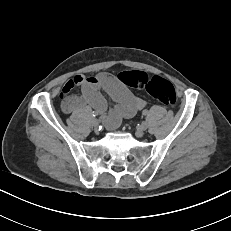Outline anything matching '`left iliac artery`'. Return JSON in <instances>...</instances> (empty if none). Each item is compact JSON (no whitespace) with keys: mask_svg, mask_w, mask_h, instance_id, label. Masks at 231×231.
Wrapping results in <instances>:
<instances>
[{"mask_svg":"<svg viewBox=\"0 0 231 231\" xmlns=\"http://www.w3.org/2000/svg\"><path fill=\"white\" fill-rule=\"evenodd\" d=\"M147 114H148V110H144L143 115H147Z\"/></svg>","mask_w":231,"mask_h":231,"instance_id":"44dca946","label":"left iliac artery"}]
</instances>
